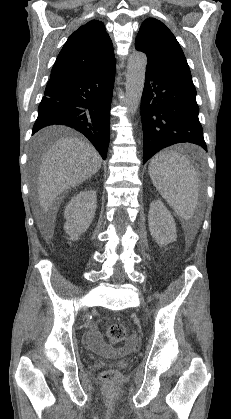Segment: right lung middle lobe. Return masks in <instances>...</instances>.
<instances>
[{"instance_id": "right-lung-middle-lobe-1", "label": "right lung middle lobe", "mask_w": 231, "mask_h": 419, "mask_svg": "<svg viewBox=\"0 0 231 419\" xmlns=\"http://www.w3.org/2000/svg\"><path fill=\"white\" fill-rule=\"evenodd\" d=\"M36 146H37V147H38V146H40L39 142H36Z\"/></svg>"}]
</instances>
